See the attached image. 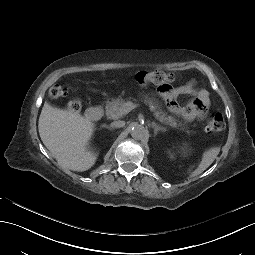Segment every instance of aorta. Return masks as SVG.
<instances>
[{
    "instance_id": "1",
    "label": "aorta",
    "mask_w": 255,
    "mask_h": 255,
    "mask_svg": "<svg viewBox=\"0 0 255 255\" xmlns=\"http://www.w3.org/2000/svg\"><path fill=\"white\" fill-rule=\"evenodd\" d=\"M130 133L134 139L140 140L146 136L147 130L141 124H134Z\"/></svg>"
}]
</instances>
